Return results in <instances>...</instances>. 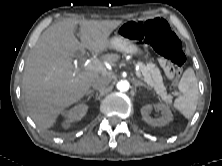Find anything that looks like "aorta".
Listing matches in <instances>:
<instances>
[{"label":"aorta","mask_w":222,"mask_h":166,"mask_svg":"<svg viewBox=\"0 0 222 166\" xmlns=\"http://www.w3.org/2000/svg\"><path fill=\"white\" fill-rule=\"evenodd\" d=\"M130 88V84L127 80H121L117 83V89L121 92H126Z\"/></svg>","instance_id":"aorta-1"}]
</instances>
